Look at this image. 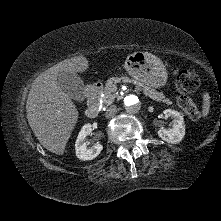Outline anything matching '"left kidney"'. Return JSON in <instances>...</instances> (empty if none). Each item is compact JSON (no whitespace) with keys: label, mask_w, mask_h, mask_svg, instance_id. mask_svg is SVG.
<instances>
[{"label":"left kidney","mask_w":221,"mask_h":221,"mask_svg":"<svg viewBox=\"0 0 221 221\" xmlns=\"http://www.w3.org/2000/svg\"><path fill=\"white\" fill-rule=\"evenodd\" d=\"M163 113L165 117L172 118L173 126L171 129L161 128L157 132L158 136L168 143L177 144L181 142L185 135V125L182 114L172 109H166Z\"/></svg>","instance_id":"left-kidney-1"}]
</instances>
